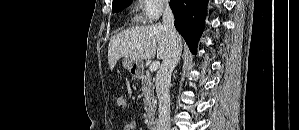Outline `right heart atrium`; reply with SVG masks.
Returning <instances> with one entry per match:
<instances>
[{
    "mask_svg": "<svg viewBox=\"0 0 299 130\" xmlns=\"http://www.w3.org/2000/svg\"><path fill=\"white\" fill-rule=\"evenodd\" d=\"M166 0H144L141 5V18L145 22H153L159 18L165 7Z\"/></svg>",
    "mask_w": 299,
    "mask_h": 130,
    "instance_id": "1",
    "label": "right heart atrium"
}]
</instances>
